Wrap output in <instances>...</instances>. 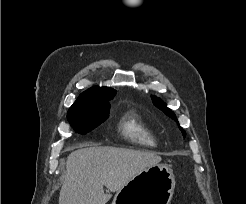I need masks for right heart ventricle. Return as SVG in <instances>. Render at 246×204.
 Wrapping results in <instances>:
<instances>
[{
    "label": "right heart ventricle",
    "instance_id": "obj_1",
    "mask_svg": "<svg viewBox=\"0 0 246 204\" xmlns=\"http://www.w3.org/2000/svg\"><path fill=\"white\" fill-rule=\"evenodd\" d=\"M119 132L127 141L146 147L156 145V138L149 126L135 114H126L119 123Z\"/></svg>",
    "mask_w": 246,
    "mask_h": 204
}]
</instances>
